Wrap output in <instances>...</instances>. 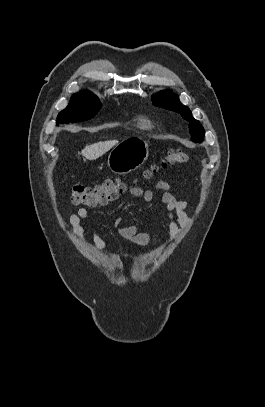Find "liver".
Returning <instances> with one entry per match:
<instances>
[{
    "mask_svg": "<svg viewBox=\"0 0 265 407\" xmlns=\"http://www.w3.org/2000/svg\"><path fill=\"white\" fill-rule=\"evenodd\" d=\"M118 144L117 140L97 142L86 146L81 154L88 160H95Z\"/></svg>",
    "mask_w": 265,
    "mask_h": 407,
    "instance_id": "liver-1",
    "label": "liver"
}]
</instances>
